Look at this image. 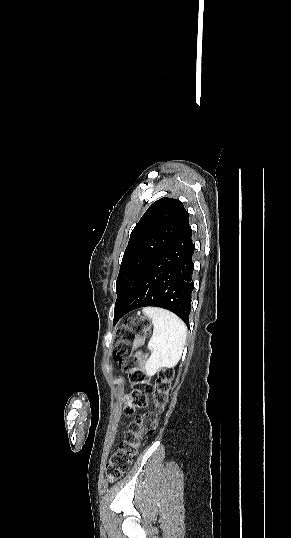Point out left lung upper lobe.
Masks as SVG:
<instances>
[{
    "label": "left lung upper lobe",
    "instance_id": "1",
    "mask_svg": "<svg viewBox=\"0 0 291 538\" xmlns=\"http://www.w3.org/2000/svg\"><path fill=\"white\" fill-rule=\"evenodd\" d=\"M189 226V213L176 199L155 201L133 231L116 282V307L126 305L144 274L172 241Z\"/></svg>",
    "mask_w": 291,
    "mask_h": 538
}]
</instances>
